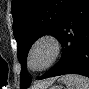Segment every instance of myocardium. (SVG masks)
I'll return each instance as SVG.
<instances>
[{
  "instance_id": "obj_1",
  "label": "myocardium",
  "mask_w": 89,
  "mask_h": 89,
  "mask_svg": "<svg viewBox=\"0 0 89 89\" xmlns=\"http://www.w3.org/2000/svg\"><path fill=\"white\" fill-rule=\"evenodd\" d=\"M42 43H48L51 46V48H52L51 57H50L49 61L43 67L33 68L31 65V55H32L34 49ZM61 50H62V45L56 35H54L52 33H44V34L38 36L32 42V44L30 45L28 52H27L26 62H27L28 68L34 72H39V71L49 69L50 67H52L55 64V62L59 58V56L61 54Z\"/></svg>"
}]
</instances>
